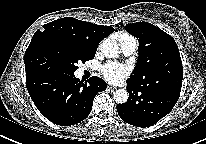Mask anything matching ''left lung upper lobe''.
<instances>
[{
    "instance_id": "left-lung-upper-lobe-1",
    "label": "left lung upper lobe",
    "mask_w": 206,
    "mask_h": 144,
    "mask_svg": "<svg viewBox=\"0 0 206 144\" xmlns=\"http://www.w3.org/2000/svg\"><path fill=\"white\" fill-rule=\"evenodd\" d=\"M139 41L138 60L129 80L150 87L182 84L183 68L175 40L148 22L126 24Z\"/></svg>"
}]
</instances>
